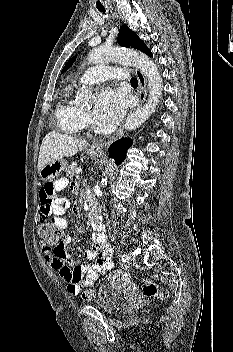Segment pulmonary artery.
Wrapping results in <instances>:
<instances>
[{
  "mask_svg": "<svg viewBox=\"0 0 233 352\" xmlns=\"http://www.w3.org/2000/svg\"><path fill=\"white\" fill-rule=\"evenodd\" d=\"M127 71L111 66L99 65L86 70L79 78V83L94 84L109 79H126Z\"/></svg>",
  "mask_w": 233,
  "mask_h": 352,
  "instance_id": "obj_1",
  "label": "pulmonary artery"
}]
</instances>
